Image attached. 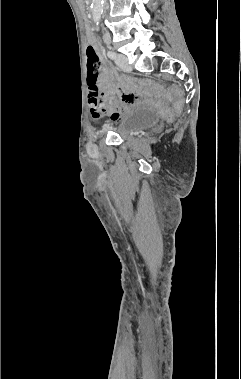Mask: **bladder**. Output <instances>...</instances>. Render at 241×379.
Instances as JSON below:
<instances>
[{
  "mask_svg": "<svg viewBox=\"0 0 241 379\" xmlns=\"http://www.w3.org/2000/svg\"><path fill=\"white\" fill-rule=\"evenodd\" d=\"M159 121V114L152 108L137 107L126 114L119 122L118 133L126 138L146 130Z\"/></svg>",
  "mask_w": 241,
  "mask_h": 379,
  "instance_id": "bladder-1",
  "label": "bladder"
}]
</instances>
